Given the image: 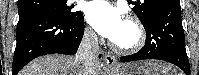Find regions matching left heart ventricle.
<instances>
[{"mask_svg": "<svg viewBox=\"0 0 199 75\" xmlns=\"http://www.w3.org/2000/svg\"><path fill=\"white\" fill-rule=\"evenodd\" d=\"M135 39H136V31L133 28V26L126 21L122 32L115 40V42L120 45H130L135 41Z\"/></svg>", "mask_w": 199, "mask_h": 75, "instance_id": "obj_1", "label": "left heart ventricle"}]
</instances>
